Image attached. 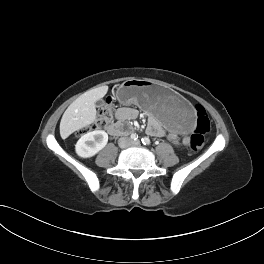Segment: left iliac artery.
Masks as SVG:
<instances>
[{
	"instance_id": "44dca946",
	"label": "left iliac artery",
	"mask_w": 264,
	"mask_h": 264,
	"mask_svg": "<svg viewBox=\"0 0 264 264\" xmlns=\"http://www.w3.org/2000/svg\"><path fill=\"white\" fill-rule=\"evenodd\" d=\"M141 141L144 145H150L151 144V141L148 137L142 138Z\"/></svg>"
}]
</instances>
